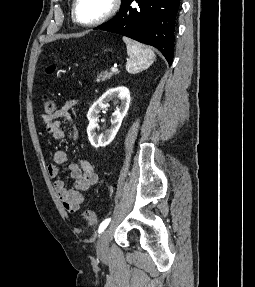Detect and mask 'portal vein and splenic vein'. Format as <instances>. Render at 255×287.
I'll use <instances>...</instances> for the list:
<instances>
[{
    "label": "portal vein and splenic vein",
    "instance_id": "obj_1",
    "mask_svg": "<svg viewBox=\"0 0 255 287\" xmlns=\"http://www.w3.org/2000/svg\"><path fill=\"white\" fill-rule=\"evenodd\" d=\"M111 72H118L117 66H114V68H111Z\"/></svg>",
    "mask_w": 255,
    "mask_h": 287
}]
</instances>
